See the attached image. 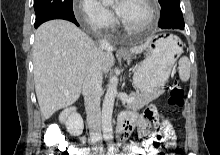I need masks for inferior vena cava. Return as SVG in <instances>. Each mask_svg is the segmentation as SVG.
Segmentation results:
<instances>
[{
  "mask_svg": "<svg viewBox=\"0 0 220 155\" xmlns=\"http://www.w3.org/2000/svg\"><path fill=\"white\" fill-rule=\"evenodd\" d=\"M98 48H101L99 50ZM103 49H110L108 41L102 38L99 46L95 48V57L92 60L82 86V94L87 113V124L90 136L98 140L101 137V109L100 98L102 95V62L100 54Z\"/></svg>",
  "mask_w": 220,
  "mask_h": 155,
  "instance_id": "602c4592",
  "label": "inferior vena cava"
}]
</instances>
